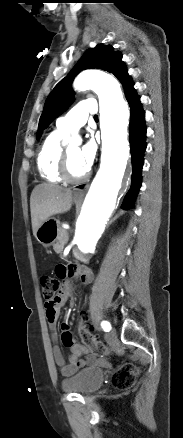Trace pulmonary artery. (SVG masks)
I'll return each instance as SVG.
<instances>
[{
    "instance_id": "1",
    "label": "pulmonary artery",
    "mask_w": 183,
    "mask_h": 438,
    "mask_svg": "<svg viewBox=\"0 0 183 438\" xmlns=\"http://www.w3.org/2000/svg\"><path fill=\"white\" fill-rule=\"evenodd\" d=\"M97 111L96 100H83L57 120V128L62 132L75 131L86 123L89 115L96 114Z\"/></svg>"
}]
</instances>
